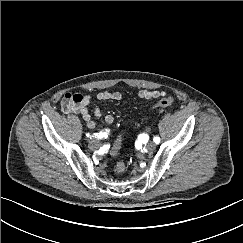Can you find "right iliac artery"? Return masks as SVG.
Wrapping results in <instances>:
<instances>
[{"mask_svg": "<svg viewBox=\"0 0 243 243\" xmlns=\"http://www.w3.org/2000/svg\"><path fill=\"white\" fill-rule=\"evenodd\" d=\"M87 137H93V136H90L89 134H87ZM95 138L97 139H102L103 138V135L100 133V134H95Z\"/></svg>", "mask_w": 243, "mask_h": 243, "instance_id": "1", "label": "right iliac artery"}]
</instances>
